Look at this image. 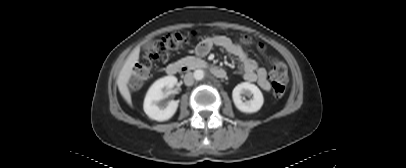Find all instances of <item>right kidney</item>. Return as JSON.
Here are the masks:
<instances>
[{
  "label": "right kidney",
  "instance_id": "right-kidney-1",
  "mask_svg": "<svg viewBox=\"0 0 406 168\" xmlns=\"http://www.w3.org/2000/svg\"><path fill=\"white\" fill-rule=\"evenodd\" d=\"M177 83L174 76H166L158 79L149 88L144 100V112L150 119L156 121L169 120L176 112L179 101H170L165 108L159 106V101L164 98L163 88L172 89Z\"/></svg>",
  "mask_w": 406,
  "mask_h": 168
}]
</instances>
